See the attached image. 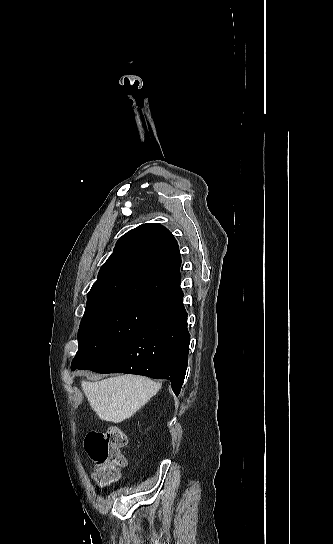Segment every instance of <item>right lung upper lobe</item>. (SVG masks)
Listing matches in <instances>:
<instances>
[{
    "mask_svg": "<svg viewBox=\"0 0 333 544\" xmlns=\"http://www.w3.org/2000/svg\"><path fill=\"white\" fill-rule=\"evenodd\" d=\"M180 264L178 244L169 230L157 223L142 224L118 240L87 302L136 296L176 301L183 297Z\"/></svg>",
    "mask_w": 333,
    "mask_h": 544,
    "instance_id": "obj_1",
    "label": "right lung upper lobe"
}]
</instances>
